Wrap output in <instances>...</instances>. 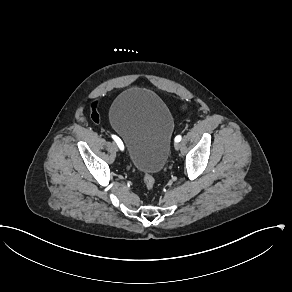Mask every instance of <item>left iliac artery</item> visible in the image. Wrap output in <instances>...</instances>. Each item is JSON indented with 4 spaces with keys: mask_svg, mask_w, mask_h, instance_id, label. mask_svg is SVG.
I'll return each instance as SVG.
<instances>
[{
    "mask_svg": "<svg viewBox=\"0 0 292 292\" xmlns=\"http://www.w3.org/2000/svg\"><path fill=\"white\" fill-rule=\"evenodd\" d=\"M181 135H177L176 137H175V142H180L181 141Z\"/></svg>",
    "mask_w": 292,
    "mask_h": 292,
    "instance_id": "1",
    "label": "left iliac artery"
}]
</instances>
